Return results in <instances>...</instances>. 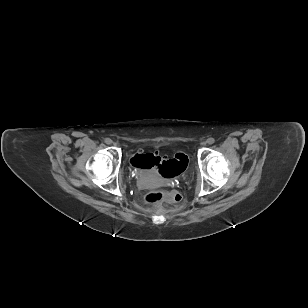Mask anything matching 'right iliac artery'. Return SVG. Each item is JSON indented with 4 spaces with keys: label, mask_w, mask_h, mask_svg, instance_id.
<instances>
[{
    "label": "right iliac artery",
    "mask_w": 308,
    "mask_h": 308,
    "mask_svg": "<svg viewBox=\"0 0 308 308\" xmlns=\"http://www.w3.org/2000/svg\"><path fill=\"white\" fill-rule=\"evenodd\" d=\"M111 142H112V140H111V139H109V138H106V139H105V143H107V144H111Z\"/></svg>",
    "instance_id": "right-iliac-artery-1"
}]
</instances>
